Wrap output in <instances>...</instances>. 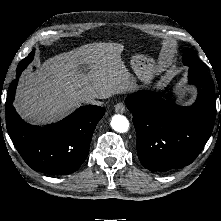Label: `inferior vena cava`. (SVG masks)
I'll return each instance as SVG.
<instances>
[{
  "label": "inferior vena cava",
  "mask_w": 221,
  "mask_h": 221,
  "mask_svg": "<svg viewBox=\"0 0 221 221\" xmlns=\"http://www.w3.org/2000/svg\"><path fill=\"white\" fill-rule=\"evenodd\" d=\"M84 102L90 103V104H93V105H102V102L97 101V100L95 99V97H93V96H88V97H86V98L84 99Z\"/></svg>",
  "instance_id": "obj_1"
}]
</instances>
